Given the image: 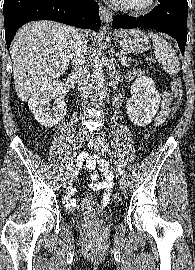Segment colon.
<instances>
[{
	"instance_id": "colon-1",
	"label": "colon",
	"mask_w": 195,
	"mask_h": 270,
	"mask_svg": "<svg viewBox=\"0 0 195 270\" xmlns=\"http://www.w3.org/2000/svg\"><path fill=\"white\" fill-rule=\"evenodd\" d=\"M171 90L175 96L173 111L176 112L180 108V106L183 102V97H184L182 83H181L179 78L172 79ZM113 199H114V202L118 203V202H120L121 197L119 194H115Z\"/></svg>"
}]
</instances>
